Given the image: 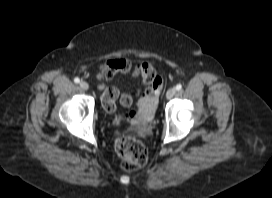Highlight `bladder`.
Returning <instances> with one entry per match:
<instances>
[{
    "instance_id": "31cf9c89",
    "label": "bladder",
    "mask_w": 272,
    "mask_h": 198,
    "mask_svg": "<svg viewBox=\"0 0 272 198\" xmlns=\"http://www.w3.org/2000/svg\"><path fill=\"white\" fill-rule=\"evenodd\" d=\"M155 106L152 102H147L139 105V117L143 121L149 120L154 114Z\"/></svg>"
}]
</instances>
